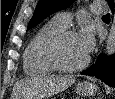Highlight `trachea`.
I'll list each match as a JSON object with an SVG mask.
<instances>
[{
  "label": "trachea",
  "mask_w": 115,
  "mask_h": 99,
  "mask_svg": "<svg viewBox=\"0 0 115 99\" xmlns=\"http://www.w3.org/2000/svg\"><path fill=\"white\" fill-rule=\"evenodd\" d=\"M103 17H110V14L108 13V14L104 15Z\"/></svg>",
  "instance_id": "obj_1"
}]
</instances>
